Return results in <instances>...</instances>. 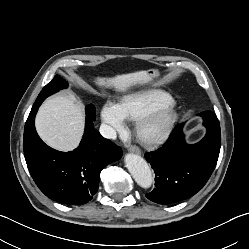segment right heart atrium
Listing matches in <instances>:
<instances>
[{"label": "right heart atrium", "instance_id": "right-heart-atrium-1", "mask_svg": "<svg viewBox=\"0 0 249 249\" xmlns=\"http://www.w3.org/2000/svg\"><path fill=\"white\" fill-rule=\"evenodd\" d=\"M101 117L109 137H112L117 132L123 131L126 127V118L116 103H106L102 109Z\"/></svg>", "mask_w": 249, "mask_h": 249}]
</instances>
